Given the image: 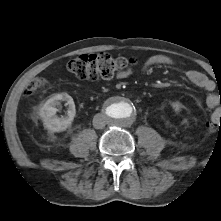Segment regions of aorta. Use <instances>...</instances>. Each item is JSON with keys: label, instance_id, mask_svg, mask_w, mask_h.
I'll use <instances>...</instances> for the list:
<instances>
[{"label": "aorta", "instance_id": "762f6f07", "mask_svg": "<svg viewBox=\"0 0 221 221\" xmlns=\"http://www.w3.org/2000/svg\"><path fill=\"white\" fill-rule=\"evenodd\" d=\"M136 114L134 104L126 98H117L108 102L105 108V115L113 125L127 126L129 125Z\"/></svg>", "mask_w": 221, "mask_h": 221}]
</instances>
